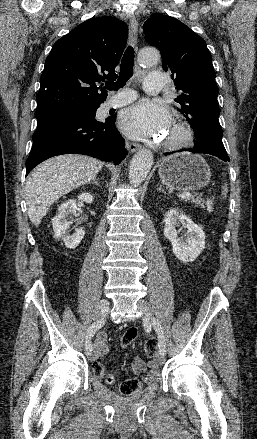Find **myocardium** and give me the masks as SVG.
<instances>
[{
	"label": "myocardium",
	"mask_w": 257,
	"mask_h": 439,
	"mask_svg": "<svg viewBox=\"0 0 257 439\" xmlns=\"http://www.w3.org/2000/svg\"><path fill=\"white\" fill-rule=\"evenodd\" d=\"M178 133V137L166 141L163 146L169 151H176L189 147L193 142V133L189 126L184 123H175L172 127Z\"/></svg>",
	"instance_id": "obj_1"
}]
</instances>
